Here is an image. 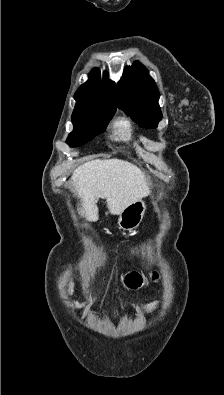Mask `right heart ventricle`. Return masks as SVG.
<instances>
[{
  "label": "right heart ventricle",
  "instance_id": "obj_1",
  "mask_svg": "<svg viewBox=\"0 0 224 395\" xmlns=\"http://www.w3.org/2000/svg\"><path fill=\"white\" fill-rule=\"evenodd\" d=\"M115 135L121 141H129L132 138L133 126L129 119L120 118L114 123Z\"/></svg>",
  "mask_w": 224,
  "mask_h": 395
}]
</instances>
